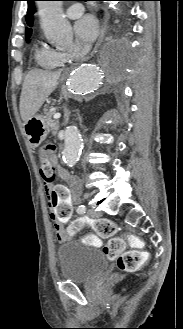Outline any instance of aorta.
<instances>
[{"instance_id":"obj_1","label":"aorta","mask_w":183,"mask_h":329,"mask_svg":"<svg viewBox=\"0 0 183 329\" xmlns=\"http://www.w3.org/2000/svg\"><path fill=\"white\" fill-rule=\"evenodd\" d=\"M115 4L113 3L112 6ZM39 15L41 27L45 37L58 46L67 48L72 44V27L62 13V1H39ZM104 61L97 60L76 68L71 74L68 87L73 92L91 93L96 91L103 79ZM82 139L75 126L65 129L64 149L62 152L64 162L73 166L80 156Z\"/></svg>"}]
</instances>
